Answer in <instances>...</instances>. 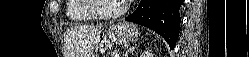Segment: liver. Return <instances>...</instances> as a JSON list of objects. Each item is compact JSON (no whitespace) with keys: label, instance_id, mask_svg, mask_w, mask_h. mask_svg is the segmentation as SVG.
Wrapping results in <instances>:
<instances>
[{"label":"liver","instance_id":"6515ba94","mask_svg":"<svg viewBox=\"0 0 249 57\" xmlns=\"http://www.w3.org/2000/svg\"><path fill=\"white\" fill-rule=\"evenodd\" d=\"M101 26H81L66 32V41L72 50V57H91L100 40Z\"/></svg>","mask_w":249,"mask_h":57}]
</instances>
